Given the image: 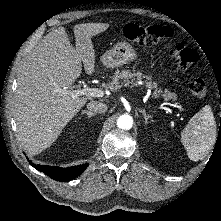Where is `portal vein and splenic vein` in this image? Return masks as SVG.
Returning a JSON list of instances; mask_svg holds the SVG:
<instances>
[{"instance_id": "18ae733b", "label": "portal vein and splenic vein", "mask_w": 221, "mask_h": 221, "mask_svg": "<svg viewBox=\"0 0 221 221\" xmlns=\"http://www.w3.org/2000/svg\"><path fill=\"white\" fill-rule=\"evenodd\" d=\"M69 94L72 98H76L81 95L91 96V97H103L104 92L98 88L84 87L80 90H70Z\"/></svg>"}]
</instances>
